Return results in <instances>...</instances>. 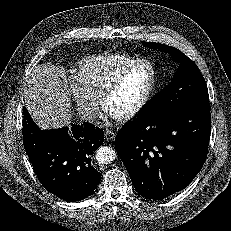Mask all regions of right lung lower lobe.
Here are the masks:
<instances>
[{
    "label": "right lung lower lobe",
    "instance_id": "98d812e1",
    "mask_svg": "<svg viewBox=\"0 0 231 231\" xmlns=\"http://www.w3.org/2000/svg\"><path fill=\"white\" fill-rule=\"evenodd\" d=\"M23 144L41 184L50 193L80 201L93 193L101 173L91 156L103 144L104 132L87 122L55 130H41L23 110Z\"/></svg>",
    "mask_w": 231,
    "mask_h": 231
}]
</instances>
